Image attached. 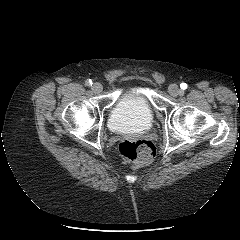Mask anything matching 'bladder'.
<instances>
[{
    "instance_id": "obj_1",
    "label": "bladder",
    "mask_w": 240,
    "mask_h": 240,
    "mask_svg": "<svg viewBox=\"0 0 240 240\" xmlns=\"http://www.w3.org/2000/svg\"><path fill=\"white\" fill-rule=\"evenodd\" d=\"M154 109L148 98L138 92H127L119 97L108 116L112 131H143L151 127Z\"/></svg>"
}]
</instances>
